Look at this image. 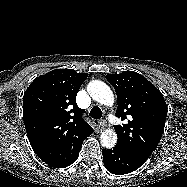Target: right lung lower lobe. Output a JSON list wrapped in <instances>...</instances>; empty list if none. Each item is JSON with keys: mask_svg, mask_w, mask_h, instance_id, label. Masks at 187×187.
Wrapping results in <instances>:
<instances>
[{"mask_svg": "<svg viewBox=\"0 0 187 187\" xmlns=\"http://www.w3.org/2000/svg\"><path fill=\"white\" fill-rule=\"evenodd\" d=\"M81 146H82V144L77 148V150L75 151V153L73 154L71 160L68 163H66V164H64L62 166H59L57 168H64V167H67V166L71 165L72 163H74L77 160V158H78Z\"/></svg>", "mask_w": 187, "mask_h": 187, "instance_id": "right-lung-lower-lobe-1", "label": "right lung lower lobe"}]
</instances>
